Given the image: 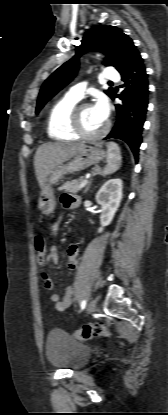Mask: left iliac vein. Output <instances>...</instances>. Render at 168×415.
<instances>
[{
	"label": "left iliac vein",
	"mask_w": 168,
	"mask_h": 415,
	"mask_svg": "<svg viewBox=\"0 0 168 415\" xmlns=\"http://www.w3.org/2000/svg\"><path fill=\"white\" fill-rule=\"evenodd\" d=\"M95 309H96V301L92 299L87 305V311L88 313H93Z\"/></svg>",
	"instance_id": "1"
}]
</instances>
